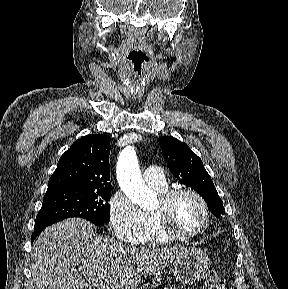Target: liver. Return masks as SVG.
<instances>
[{
    "instance_id": "1",
    "label": "liver",
    "mask_w": 288,
    "mask_h": 289,
    "mask_svg": "<svg viewBox=\"0 0 288 289\" xmlns=\"http://www.w3.org/2000/svg\"><path fill=\"white\" fill-rule=\"evenodd\" d=\"M184 251L124 246L96 236L89 221L69 218L38 236L31 272L35 289H136L140 273L155 274Z\"/></svg>"
}]
</instances>
